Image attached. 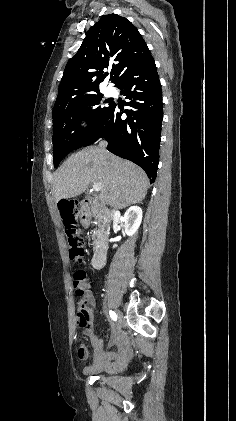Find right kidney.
Listing matches in <instances>:
<instances>
[{
	"label": "right kidney",
	"mask_w": 236,
	"mask_h": 421,
	"mask_svg": "<svg viewBox=\"0 0 236 421\" xmlns=\"http://www.w3.org/2000/svg\"><path fill=\"white\" fill-rule=\"evenodd\" d=\"M142 221V208L140 206H130L124 215L125 233L128 237H133L139 229ZM117 247V245H114Z\"/></svg>",
	"instance_id": "obj_1"
}]
</instances>
